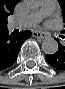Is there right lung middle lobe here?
<instances>
[{
  "mask_svg": "<svg viewBox=\"0 0 65 89\" xmlns=\"http://www.w3.org/2000/svg\"><path fill=\"white\" fill-rule=\"evenodd\" d=\"M7 26V22H4L0 25V27H6Z\"/></svg>",
  "mask_w": 65,
  "mask_h": 89,
  "instance_id": "1",
  "label": "right lung middle lobe"
}]
</instances>
